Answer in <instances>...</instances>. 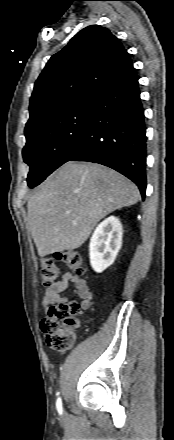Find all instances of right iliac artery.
<instances>
[{
  "label": "right iliac artery",
  "mask_w": 174,
  "mask_h": 440,
  "mask_svg": "<svg viewBox=\"0 0 174 440\" xmlns=\"http://www.w3.org/2000/svg\"><path fill=\"white\" fill-rule=\"evenodd\" d=\"M56 406H57L58 412L61 414L62 413V402H61L60 397L57 399Z\"/></svg>",
  "instance_id": "right-iliac-artery-1"
}]
</instances>
